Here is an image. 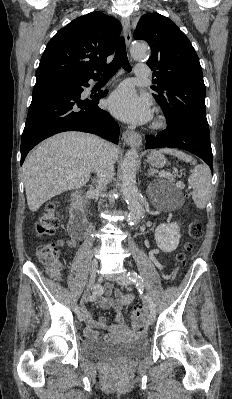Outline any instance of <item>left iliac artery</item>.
Instances as JSON below:
<instances>
[{
	"instance_id": "left-iliac-artery-1",
	"label": "left iliac artery",
	"mask_w": 232,
	"mask_h": 399,
	"mask_svg": "<svg viewBox=\"0 0 232 399\" xmlns=\"http://www.w3.org/2000/svg\"><path fill=\"white\" fill-rule=\"evenodd\" d=\"M127 276H128V278H129L130 281H132L133 283L136 284L138 293H139L140 295H143V292H144V284H143V279H142V277H141L139 274H137L135 271L128 272V273H127ZM149 308H150L151 314H152V315H155V314H156V309H155V306H154V304H153L152 302H150Z\"/></svg>"
}]
</instances>
